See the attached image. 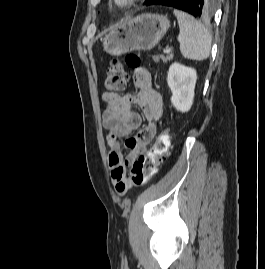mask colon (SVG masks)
<instances>
[{
    "label": "colon",
    "mask_w": 265,
    "mask_h": 269,
    "mask_svg": "<svg viewBox=\"0 0 265 269\" xmlns=\"http://www.w3.org/2000/svg\"><path fill=\"white\" fill-rule=\"evenodd\" d=\"M125 65L131 68H138L140 59L136 54H128L124 63L119 59H114L107 70V77L104 88L107 92L118 93L125 89L128 75ZM170 146V135L163 131L159 134L156 142L149 151L140 155L132 164L128 186L139 187L146 184L157 172L161 160L165 157ZM120 194H124L126 189L118 188Z\"/></svg>",
    "instance_id": "obj_1"
}]
</instances>
